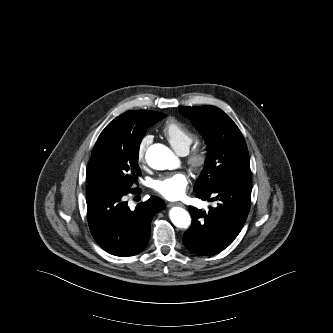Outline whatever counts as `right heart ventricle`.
Segmentation results:
<instances>
[{
	"label": "right heart ventricle",
	"mask_w": 333,
	"mask_h": 333,
	"mask_svg": "<svg viewBox=\"0 0 333 333\" xmlns=\"http://www.w3.org/2000/svg\"><path fill=\"white\" fill-rule=\"evenodd\" d=\"M162 133L179 154H186L195 140L194 132L177 119L167 120L162 127Z\"/></svg>",
	"instance_id": "obj_1"
}]
</instances>
